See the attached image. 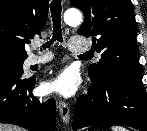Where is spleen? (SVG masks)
<instances>
[{
    "label": "spleen",
    "mask_w": 147,
    "mask_h": 131,
    "mask_svg": "<svg viewBox=\"0 0 147 131\" xmlns=\"http://www.w3.org/2000/svg\"><path fill=\"white\" fill-rule=\"evenodd\" d=\"M112 131H127L123 126H112L111 127Z\"/></svg>",
    "instance_id": "1"
}]
</instances>
